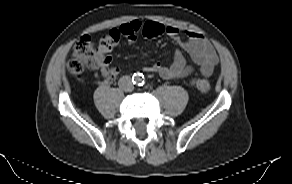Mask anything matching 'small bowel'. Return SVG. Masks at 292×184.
<instances>
[{
    "mask_svg": "<svg viewBox=\"0 0 292 184\" xmlns=\"http://www.w3.org/2000/svg\"><path fill=\"white\" fill-rule=\"evenodd\" d=\"M161 25L163 27V34L180 43L202 75H212L218 63V56L207 38L200 33L186 30L184 33L187 39L183 41L181 40V31L178 27ZM143 26L144 23L140 20H132L122 24L118 30L132 44L136 41L138 34L142 32ZM94 60V68L100 71L106 83L112 82L119 75L120 69L112 65L113 57L108 54V51H97ZM144 71L156 73L163 79H178L189 76L194 71V67L187 65L182 53L176 52L169 66L154 63L144 67Z\"/></svg>",
    "mask_w": 292,
    "mask_h": 184,
    "instance_id": "1",
    "label": "small bowel"
}]
</instances>
